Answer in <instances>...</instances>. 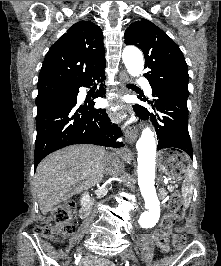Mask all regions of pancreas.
I'll list each match as a JSON object with an SVG mask.
<instances>
[{
	"mask_svg": "<svg viewBox=\"0 0 221 266\" xmlns=\"http://www.w3.org/2000/svg\"><path fill=\"white\" fill-rule=\"evenodd\" d=\"M173 189H174L173 186L169 187V191H173Z\"/></svg>",
	"mask_w": 221,
	"mask_h": 266,
	"instance_id": "obj_1",
	"label": "pancreas"
}]
</instances>
